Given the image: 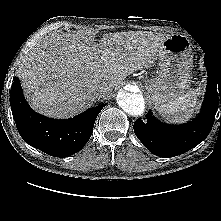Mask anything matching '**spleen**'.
Instances as JSON below:
<instances>
[{
  "instance_id": "spleen-1",
  "label": "spleen",
  "mask_w": 221,
  "mask_h": 221,
  "mask_svg": "<svg viewBox=\"0 0 221 221\" xmlns=\"http://www.w3.org/2000/svg\"><path fill=\"white\" fill-rule=\"evenodd\" d=\"M196 105V96L191 92L177 103L167 104L156 109L166 120L181 123L192 117Z\"/></svg>"
}]
</instances>
